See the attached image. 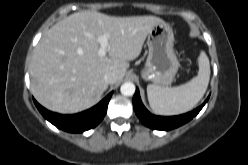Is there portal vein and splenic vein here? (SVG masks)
<instances>
[{
	"label": "portal vein and splenic vein",
	"instance_id": "portal-vein-and-splenic-vein-1",
	"mask_svg": "<svg viewBox=\"0 0 248 165\" xmlns=\"http://www.w3.org/2000/svg\"><path fill=\"white\" fill-rule=\"evenodd\" d=\"M108 38H109L108 34H103V35L97 37V41L100 44V48L98 50V55L101 57H104L106 55L107 49L109 47Z\"/></svg>",
	"mask_w": 248,
	"mask_h": 165
}]
</instances>
